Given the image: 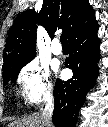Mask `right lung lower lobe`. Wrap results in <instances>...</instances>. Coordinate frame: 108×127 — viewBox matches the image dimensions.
<instances>
[{"label":"right lung lower lobe","mask_w":108,"mask_h":127,"mask_svg":"<svg viewBox=\"0 0 108 127\" xmlns=\"http://www.w3.org/2000/svg\"><path fill=\"white\" fill-rule=\"evenodd\" d=\"M97 31V21L93 19L69 38L70 54L65 66L73 71V78L66 82L56 81L52 116L56 127L75 126L79 109L86 100L85 95L96 83L100 58Z\"/></svg>","instance_id":"obj_1"}]
</instances>
